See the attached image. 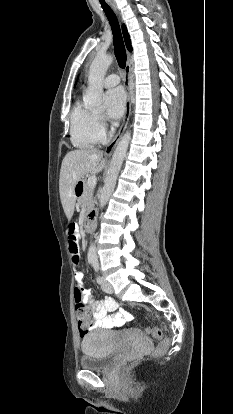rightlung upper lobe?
<instances>
[{
    "instance_id": "cb5924a9",
    "label": "right lung upper lobe",
    "mask_w": 233,
    "mask_h": 414,
    "mask_svg": "<svg viewBox=\"0 0 233 414\" xmlns=\"http://www.w3.org/2000/svg\"><path fill=\"white\" fill-rule=\"evenodd\" d=\"M122 30H123V36H124V40H125V44L127 46V49L131 52L132 51V46H131L130 36L127 32V29H126L125 25L122 26Z\"/></svg>"
}]
</instances>
